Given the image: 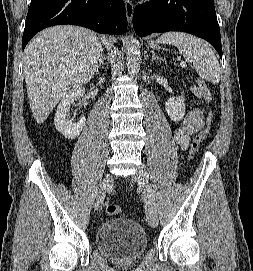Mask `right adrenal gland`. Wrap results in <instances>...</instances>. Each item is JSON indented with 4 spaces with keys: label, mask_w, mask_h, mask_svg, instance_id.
I'll return each mask as SVG.
<instances>
[{
    "label": "right adrenal gland",
    "mask_w": 253,
    "mask_h": 271,
    "mask_svg": "<svg viewBox=\"0 0 253 271\" xmlns=\"http://www.w3.org/2000/svg\"><path fill=\"white\" fill-rule=\"evenodd\" d=\"M101 65H104V53L102 52L98 61V65H97V72L99 71V68L101 67Z\"/></svg>",
    "instance_id": "2a0ac1e0"
}]
</instances>
